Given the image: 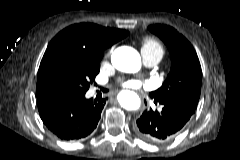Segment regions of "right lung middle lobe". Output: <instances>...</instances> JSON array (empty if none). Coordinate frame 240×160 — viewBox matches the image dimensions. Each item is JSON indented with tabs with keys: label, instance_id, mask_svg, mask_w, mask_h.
Returning <instances> with one entry per match:
<instances>
[{
	"label": "right lung middle lobe",
	"instance_id": "obj_1",
	"mask_svg": "<svg viewBox=\"0 0 240 160\" xmlns=\"http://www.w3.org/2000/svg\"><path fill=\"white\" fill-rule=\"evenodd\" d=\"M102 56L94 57L64 49L40 74L42 92L46 96L85 95L100 70Z\"/></svg>",
	"mask_w": 240,
	"mask_h": 160
}]
</instances>
